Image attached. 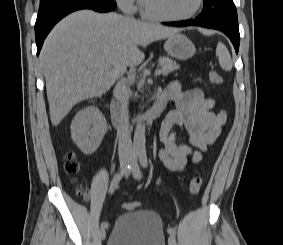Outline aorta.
<instances>
[{
  "instance_id": "762f6f07",
  "label": "aorta",
  "mask_w": 283,
  "mask_h": 245,
  "mask_svg": "<svg viewBox=\"0 0 283 245\" xmlns=\"http://www.w3.org/2000/svg\"><path fill=\"white\" fill-rule=\"evenodd\" d=\"M133 148L136 151L145 150V126L141 123H138L135 128Z\"/></svg>"
}]
</instances>
